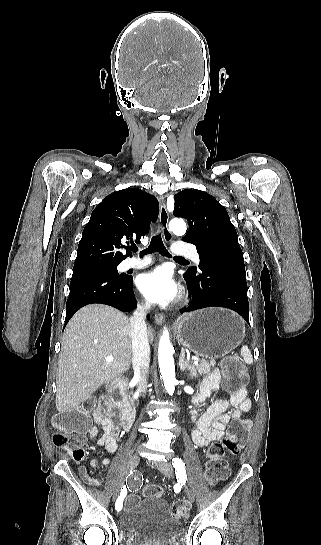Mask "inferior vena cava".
Here are the masks:
<instances>
[{
  "label": "inferior vena cava",
  "mask_w": 321,
  "mask_h": 545,
  "mask_svg": "<svg viewBox=\"0 0 321 545\" xmlns=\"http://www.w3.org/2000/svg\"><path fill=\"white\" fill-rule=\"evenodd\" d=\"M151 303L146 301L145 305H138L137 311L130 319V337L132 343V363L135 375H138L139 393H147L148 371L150 365V347L147 337L145 317Z\"/></svg>",
  "instance_id": "obj_1"
}]
</instances>
